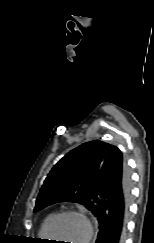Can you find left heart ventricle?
Wrapping results in <instances>:
<instances>
[{
	"label": "left heart ventricle",
	"instance_id": "obj_1",
	"mask_svg": "<svg viewBox=\"0 0 154 243\" xmlns=\"http://www.w3.org/2000/svg\"><path fill=\"white\" fill-rule=\"evenodd\" d=\"M85 235V223L76 216H64L56 220L51 236L58 239H71V243H81ZM64 243V241H57Z\"/></svg>",
	"mask_w": 154,
	"mask_h": 243
}]
</instances>
